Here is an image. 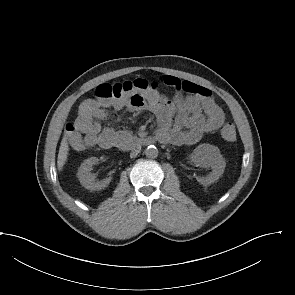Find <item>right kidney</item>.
<instances>
[{
    "instance_id": "ca27d5eb",
    "label": "right kidney",
    "mask_w": 295,
    "mask_h": 295,
    "mask_svg": "<svg viewBox=\"0 0 295 295\" xmlns=\"http://www.w3.org/2000/svg\"><path fill=\"white\" fill-rule=\"evenodd\" d=\"M98 163H99L98 158L91 157L89 159H86L78 169L77 175L81 185L84 188L89 189L91 191L102 190L105 187H107L109 183L111 182V177L101 181L95 180V175L91 173V170H92V166Z\"/></svg>"
}]
</instances>
